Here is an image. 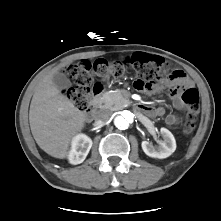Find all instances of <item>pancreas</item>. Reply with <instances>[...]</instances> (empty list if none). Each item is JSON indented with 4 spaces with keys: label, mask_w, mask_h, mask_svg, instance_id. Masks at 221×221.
<instances>
[{
    "label": "pancreas",
    "mask_w": 221,
    "mask_h": 221,
    "mask_svg": "<svg viewBox=\"0 0 221 221\" xmlns=\"http://www.w3.org/2000/svg\"><path fill=\"white\" fill-rule=\"evenodd\" d=\"M126 98L120 91L105 92L98 100L99 107L117 110L120 109Z\"/></svg>",
    "instance_id": "obj_1"
}]
</instances>
